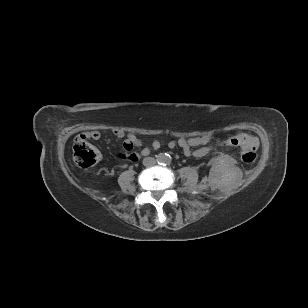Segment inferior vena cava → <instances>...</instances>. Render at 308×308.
Returning <instances> with one entry per match:
<instances>
[{
  "label": "inferior vena cava",
  "mask_w": 308,
  "mask_h": 308,
  "mask_svg": "<svg viewBox=\"0 0 308 308\" xmlns=\"http://www.w3.org/2000/svg\"><path fill=\"white\" fill-rule=\"evenodd\" d=\"M151 161H152L153 163H155V160H154V159H152Z\"/></svg>",
  "instance_id": "inferior-vena-cava-1"
}]
</instances>
